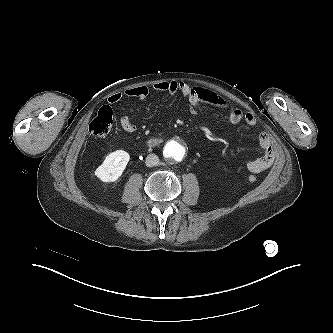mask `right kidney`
I'll return each instance as SVG.
<instances>
[{
	"mask_svg": "<svg viewBox=\"0 0 333 333\" xmlns=\"http://www.w3.org/2000/svg\"><path fill=\"white\" fill-rule=\"evenodd\" d=\"M129 159V154L123 150L112 152L96 169L95 175L103 182H114L122 175Z\"/></svg>",
	"mask_w": 333,
	"mask_h": 333,
	"instance_id": "ca27d5eb",
	"label": "right kidney"
}]
</instances>
